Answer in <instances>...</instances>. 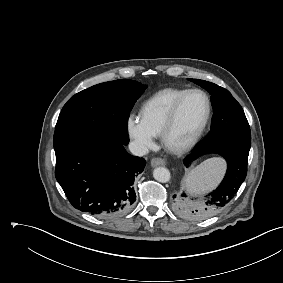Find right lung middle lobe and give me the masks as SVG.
<instances>
[{
    "instance_id": "dd1d6c3e",
    "label": "right lung middle lobe",
    "mask_w": 283,
    "mask_h": 283,
    "mask_svg": "<svg viewBox=\"0 0 283 283\" xmlns=\"http://www.w3.org/2000/svg\"><path fill=\"white\" fill-rule=\"evenodd\" d=\"M146 87L137 81L120 79L72 96L58 117L53 141L55 152L91 136H105L127 145L128 117Z\"/></svg>"
}]
</instances>
